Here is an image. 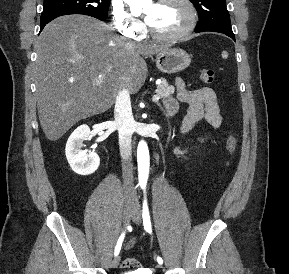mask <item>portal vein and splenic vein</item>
<instances>
[{
	"label": "portal vein and splenic vein",
	"mask_w": 289,
	"mask_h": 274,
	"mask_svg": "<svg viewBox=\"0 0 289 274\" xmlns=\"http://www.w3.org/2000/svg\"><path fill=\"white\" fill-rule=\"evenodd\" d=\"M159 99H160V96L158 94L154 95L153 98H152V100L155 101V102L159 101Z\"/></svg>",
	"instance_id": "18ae733b"
}]
</instances>
